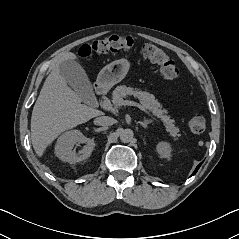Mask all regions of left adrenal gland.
I'll use <instances>...</instances> for the list:
<instances>
[{
    "label": "left adrenal gland",
    "instance_id": "a2214340",
    "mask_svg": "<svg viewBox=\"0 0 239 239\" xmlns=\"http://www.w3.org/2000/svg\"><path fill=\"white\" fill-rule=\"evenodd\" d=\"M152 123V120H147L145 119L143 122H140V125L143 127V128H147L148 124Z\"/></svg>",
    "mask_w": 239,
    "mask_h": 239
}]
</instances>
